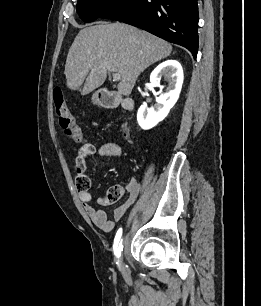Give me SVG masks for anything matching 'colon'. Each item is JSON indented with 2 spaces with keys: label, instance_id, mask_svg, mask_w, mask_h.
<instances>
[{
  "label": "colon",
  "instance_id": "5ec220e1",
  "mask_svg": "<svg viewBox=\"0 0 261 306\" xmlns=\"http://www.w3.org/2000/svg\"><path fill=\"white\" fill-rule=\"evenodd\" d=\"M53 103L56 117L58 119L59 125L63 131L68 135L73 137L75 140H80V131L77 127L74 117L67 107L64 94L60 88H55L53 91ZM124 135L128 136L129 132L124 128ZM93 145L90 143H83L79 150L77 151L76 161L83 162L87 160L93 153ZM78 187H87L86 183L78 185ZM122 190L118 186L111 187L104 195L99 198V203L101 205H110L115 203L121 196Z\"/></svg>",
  "mask_w": 261,
  "mask_h": 306
}]
</instances>
